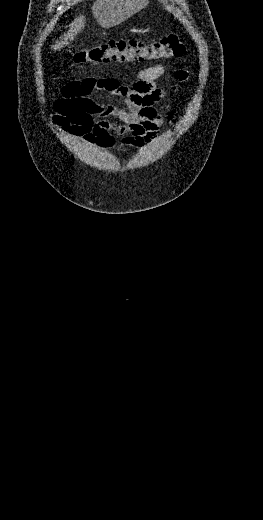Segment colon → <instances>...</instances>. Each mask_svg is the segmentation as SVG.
<instances>
[{
  "label": "colon",
  "instance_id": "5ec220e1",
  "mask_svg": "<svg viewBox=\"0 0 263 520\" xmlns=\"http://www.w3.org/2000/svg\"><path fill=\"white\" fill-rule=\"evenodd\" d=\"M186 44L177 34H170L158 41L146 43L137 39L110 40L74 54L73 60L80 64L108 62L140 63L152 60L171 59L182 56Z\"/></svg>",
  "mask_w": 263,
  "mask_h": 520
}]
</instances>
